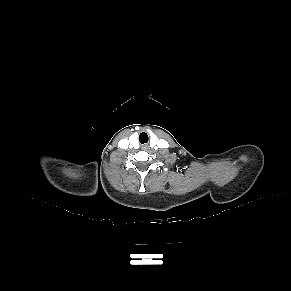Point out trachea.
<instances>
[{
  "instance_id": "trachea-1",
  "label": "trachea",
  "mask_w": 291,
  "mask_h": 291,
  "mask_svg": "<svg viewBox=\"0 0 291 291\" xmlns=\"http://www.w3.org/2000/svg\"><path fill=\"white\" fill-rule=\"evenodd\" d=\"M145 133H142L140 136L142 137Z\"/></svg>"
}]
</instances>
